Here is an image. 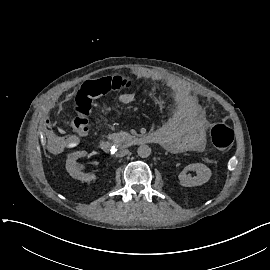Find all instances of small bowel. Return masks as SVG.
Returning a JSON list of instances; mask_svg holds the SVG:
<instances>
[{"label": "small bowel", "mask_w": 270, "mask_h": 270, "mask_svg": "<svg viewBox=\"0 0 270 270\" xmlns=\"http://www.w3.org/2000/svg\"><path fill=\"white\" fill-rule=\"evenodd\" d=\"M134 74L139 78L165 86L178 103L193 105V109L186 119H169L157 129L156 133L161 139V145L172 153L202 151L205 147L208 121L194 93L184 83L164 72L140 68L135 70ZM119 100L122 104L128 105L133 102L134 94L132 92L122 93ZM45 136L50 141L51 151L56 154L77 145L75 136L70 132L63 133L57 125L49 126L45 131Z\"/></svg>", "instance_id": "c3829d8e"}]
</instances>
